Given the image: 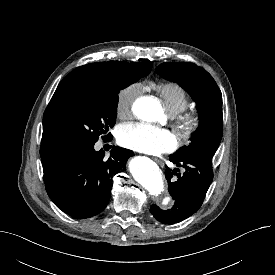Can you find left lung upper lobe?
Instances as JSON below:
<instances>
[{
    "label": "left lung upper lobe",
    "mask_w": 275,
    "mask_h": 275,
    "mask_svg": "<svg viewBox=\"0 0 275 275\" xmlns=\"http://www.w3.org/2000/svg\"><path fill=\"white\" fill-rule=\"evenodd\" d=\"M156 72L184 88L196 102L200 115L191 143L173 156L206 155L212 158L223 135L222 94L218 85L207 71L189 62H165L156 68Z\"/></svg>",
    "instance_id": "obj_1"
}]
</instances>
